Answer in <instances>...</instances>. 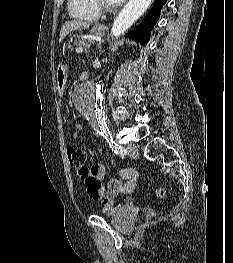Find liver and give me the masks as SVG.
<instances>
[{
  "label": "liver",
  "mask_w": 233,
  "mask_h": 263,
  "mask_svg": "<svg viewBox=\"0 0 233 263\" xmlns=\"http://www.w3.org/2000/svg\"><path fill=\"white\" fill-rule=\"evenodd\" d=\"M90 26L89 23L84 21H68L63 24L61 31H60V37L59 42H62L63 39L72 31L80 30V29H88Z\"/></svg>",
  "instance_id": "liver-1"
}]
</instances>
